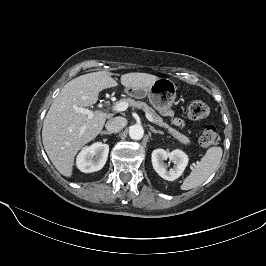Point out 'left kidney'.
<instances>
[{"label":"left kidney","instance_id":"left-kidney-1","mask_svg":"<svg viewBox=\"0 0 266 266\" xmlns=\"http://www.w3.org/2000/svg\"><path fill=\"white\" fill-rule=\"evenodd\" d=\"M168 158L174 163L173 168L168 169V165L164 163ZM151 160L154 170L159 176L168 181L179 178L188 164V156L179 149L170 153L164 149H156L152 152Z\"/></svg>","mask_w":266,"mask_h":266}]
</instances>
